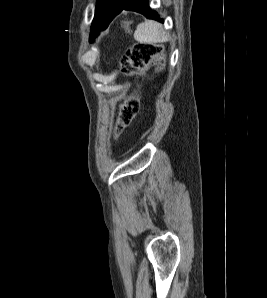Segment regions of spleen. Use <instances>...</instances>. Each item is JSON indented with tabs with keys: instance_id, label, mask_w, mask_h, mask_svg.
Returning <instances> with one entry per match:
<instances>
[{
	"instance_id": "1",
	"label": "spleen",
	"mask_w": 267,
	"mask_h": 298,
	"mask_svg": "<svg viewBox=\"0 0 267 298\" xmlns=\"http://www.w3.org/2000/svg\"><path fill=\"white\" fill-rule=\"evenodd\" d=\"M169 33L165 32L162 25L155 21H145L137 26L134 39L140 43L155 44L170 40Z\"/></svg>"
}]
</instances>
